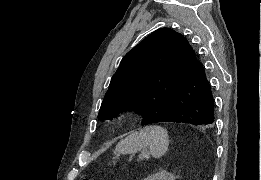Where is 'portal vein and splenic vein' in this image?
<instances>
[{
    "label": "portal vein and splenic vein",
    "instance_id": "1",
    "mask_svg": "<svg viewBox=\"0 0 261 180\" xmlns=\"http://www.w3.org/2000/svg\"><path fill=\"white\" fill-rule=\"evenodd\" d=\"M146 154L145 153H140L139 155H137V160H142V158H145Z\"/></svg>",
    "mask_w": 261,
    "mask_h": 180
}]
</instances>
